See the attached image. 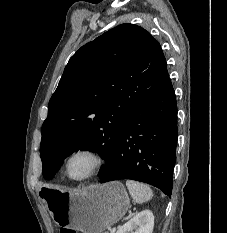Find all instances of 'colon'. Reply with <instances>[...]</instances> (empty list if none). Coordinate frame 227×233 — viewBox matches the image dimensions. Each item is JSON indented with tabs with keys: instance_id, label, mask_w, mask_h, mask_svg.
Instances as JSON below:
<instances>
[{
	"instance_id": "1",
	"label": "colon",
	"mask_w": 227,
	"mask_h": 233,
	"mask_svg": "<svg viewBox=\"0 0 227 233\" xmlns=\"http://www.w3.org/2000/svg\"><path fill=\"white\" fill-rule=\"evenodd\" d=\"M60 233H78L77 231L73 230V229H68V228H62L60 230Z\"/></svg>"
}]
</instances>
